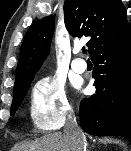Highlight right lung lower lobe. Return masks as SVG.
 <instances>
[{
  "instance_id": "1",
  "label": "right lung lower lobe",
  "mask_w": 131,
  "mask_h": 151,
  "mask_svg": "<svg viewBox=\"0 0 131 151\" xmlns=\"http://www.w3.org/2000/svg\"><path fill=\"white\" fill-rule=\"evenodd\" d=\"M96 92L80 104L85 132L124 136L131 143V30L91 53Z\"/></svg>"
}]
</instances>
